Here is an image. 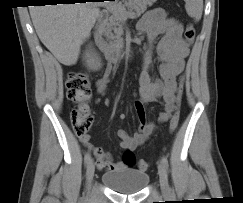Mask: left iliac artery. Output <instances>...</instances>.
<instances>
[{
	"label": "left iliac artery",
	"mask_w": 243,
	"mask_h": 203,
	"mask_svg": "<svg viewBox=\"0 0 243 203\" xmlns=\"http://www.w3.org/2000/svg\"><path fill=\"white\" fill-rule=\"evenodd\" d=\"M162 163L164 164L165 168L168 169L169 165H168V159L166 156L162 157Z\"/></svg>",
	"instance_id": "left-iliac-artery-1"
}]
</instances>
